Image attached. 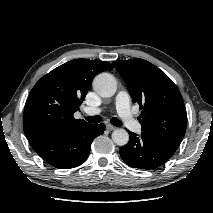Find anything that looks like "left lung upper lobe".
<instances>
[{
  "mask_svg": "<svg viewBox=\"0 0 213 213\" xmlns=\"http://www.w3.org/2000/svg\"><path fill=\"white\" fill-rule=\"evenodd\" d=\"M133 101L140 105L142 133L175 146L182 141L187 114L173 81L150 62L136 58L114 61Z\"/></svg>",
  "mask_w": 213,
  "mask_h": 213,
  "instance_id": "left-lung-upper-lobe-1",
  "label": "left lung upper lobe"
}]
</instances>
